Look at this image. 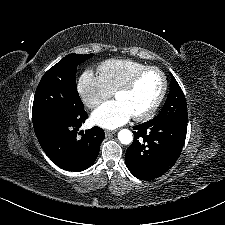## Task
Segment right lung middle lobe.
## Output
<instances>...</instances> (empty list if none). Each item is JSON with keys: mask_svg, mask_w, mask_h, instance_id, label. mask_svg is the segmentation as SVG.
I'll use <instances>...</instances> for the list:
<instances>
[{"mask_svg": "<svg viewBox=\"0 0 225 225\" xmlns=\"http://www.w3.org/2000/svg\"><path fill=\"white\" fill-rule=\"evenodd\" d=\"M93 54H69L51 67L41 78L35 92L32 120L37 127L45 119L76 111L83 107L77 91V66Z\"/></svg>", "mask_w": 225, "mask_h": 225, "instance_id": "1", "label": "right lung middle lobe"}]
</instances>
